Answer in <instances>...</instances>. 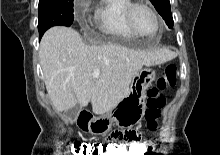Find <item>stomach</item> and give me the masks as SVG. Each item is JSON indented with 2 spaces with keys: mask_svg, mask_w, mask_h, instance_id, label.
<instances>
[{
  "mask_svg": "<svg viewBox=\"0 0 220 155\" xmlns=\"http://www.w3.org/2000/svg\"><path fill=\"white\" fill-rule=\"evenodd\" d=\"M156 79V73L147 69L137 73L130 84L127 95L109 112L92 118L82 130L94 135L107 133L115 123L117 126H135L143 119L146 91Z\"/></svg>",
  "mask_w": 220,
  "mask_h": 155,
  "instance_id": "obj_1",
  "label": "stomach"
}]
</instances>
